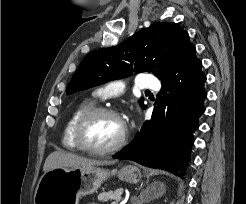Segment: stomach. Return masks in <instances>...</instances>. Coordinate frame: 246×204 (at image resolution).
Masks as SVG:
<instances>
[{
  "mask_svg": "<svg viewBox=\"0 0 246 204\" xmlns=\"http://www.w3.org/2000/svg\"><path fill=\"white\" fill-rule=\"evenodd\" d=\"M111 175L132 184L148 176L134 165H125L119 170L95 166L54 168L40 178L34 204H78L82 196L95 193Z\"/></svg>",
  "mask_w": 246,
  "mask_h": 204,
  "instance_id": "obj_1",
  "label": "stomach"
}]
</instances>
